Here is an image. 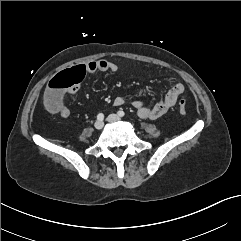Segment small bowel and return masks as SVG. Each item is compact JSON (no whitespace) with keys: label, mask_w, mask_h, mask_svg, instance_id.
Returning <instances> with one entry per match:
<instances>
[{"label":"small bowel","mask_w":241,"mask_h":241,"mask_svg":"<svg viewBox=\"0 0 241 241\" xmlns=\"http://www.w3.org/2000/svg\"><path fill=\"white\" fill-rule=\"evenodd\" d=\"M86 67L87 72H109L116 73L118 66L116 63L106 60L90 61L86 64H82ZM78 90V86H74L69 92L65 93L57 105L53 109H48L53 114H58L63 118H69L71 116L70 109L64 104V97L66 94H75ZM184 92V85L182 83H175L166 93L165 97L153 105L152 107L146 106L141 100H134L133 106L137 109L138 115L144 119H158L167 113L177 102V99ZM125 103V99L122 96H116L113 99L114 106H122Z\"/></svg>","instance_id":"small-bowel-1"}]
</instances>
